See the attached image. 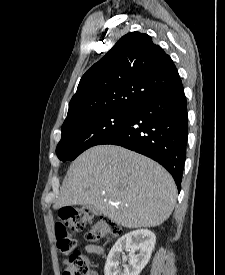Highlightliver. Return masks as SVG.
I'll return each instance as SVG.
<instances>
[{
  "mask_svg": "<svg viewBox=\"0 0 225 275\" xmlns=\"http://www.w3.org/2000/svg\"><path fill=\"white\" fill-rule=\"evenodd\" d=\"M172 176L158 163L115 145H97L70 165L54 209L93 207L126 228L155 227L171 215Z\"/></svg>",
  "mask_w": 225,
  "mask_h": 275,
  "instance_id": "liver-1",
  "label": "liver"
}]
</instances>
